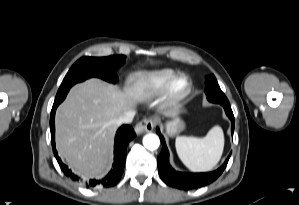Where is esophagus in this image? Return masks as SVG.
<instances>
[{"mask_svg": "<svg viewBox=\"0 0 299 205\" xmlns=\"http://www.w3.org/2000/svg\"><path fill=\"white\" fill-rule=\"evenodd\" d=\"M154 128V122L149 119H143L135 126L136 134H142L144 132H150Z\"/></svg>", "mask_w": 299, "mask_h": 205, "instance_id": "obj_1", "label": "esophagus"}]
</instances>
